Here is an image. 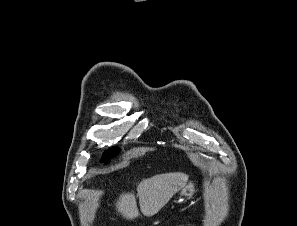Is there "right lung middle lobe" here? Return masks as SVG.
Here are the masks:
<instances>
[{"instance_id":"right-lung-middle-lobe-1","label":"right lung middle lobe","mask_w":297,"mask_h":226,"mask_svg":"<svg viewBox=\"0 0 297 226\" xmlns=\"http://www.w3.org/2000/svg\"><path fill=\"white\" fill-rule=\"evenodd\" d=\"M118 153V149H109L104 152L103 159L109 160L111 157H114Z\"/></svg>"}]
</instances>
